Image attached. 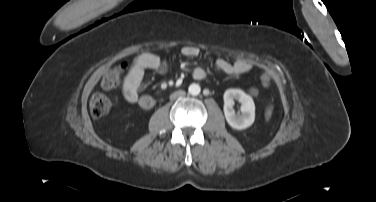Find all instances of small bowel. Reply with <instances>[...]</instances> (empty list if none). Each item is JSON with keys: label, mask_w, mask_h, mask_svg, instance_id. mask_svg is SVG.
Segmentation results:
<instances>
[{"label": "small bowel", "mask_w": 376, "mask_h": 202, "mask_svg": "<svg viewBox=\"0 0 376 202\" xmlns=\"http://www.w3.org/2000/svg\"><path fill=\"white\" fill-rule=\"evenodd\" d=\"M181 54L186 58H194L199 55V49L194 46H184L181 49ZM215 67L224 74L239 75L248 72L251 69V64L246 60H236L231 63L224 59H219L216 61ZM147 69L166 73L168 66L155 54L147 52L139 54L134 59L123 81L122 92L127 102L136 103L138 101L140 85ZM191 75L196 80H205L207 78V72L200 67L193 68Z\"/></svg>", "instance_id": "obj_1"}]
</instances>
